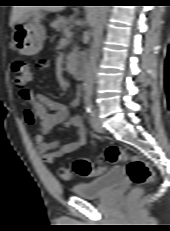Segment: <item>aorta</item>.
Returning a JSON list of instances; mask_svg holds the SVG:
<instances>
[{"label": "aorta", "mask_w": 170, "mask_h": 231, "mask_svg": "<svg viewBox=\"0 0 170 231\" xmlns=\"http://www.w3.org/2000/svg\"><path fill=\"white\" fill-rule=\"evenodd\" d=\"M109 6H95L93 42L90 48L89 60L83 78L86 91H91L96 79L97 62L100 55V48L103 35V27L107 17Z\"/></svg>", "instance_id": "1"}]
</instances>
